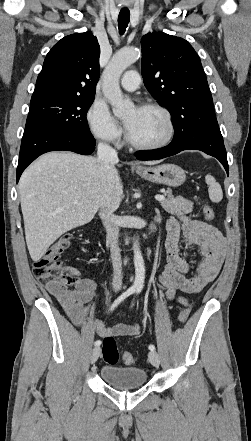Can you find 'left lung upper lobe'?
Here are the masks:
<instances>
[{
	"instance_id": "5c2ea615",
	"label": "left lung upper lobe",
	"mask_w": 251,
	"mask_h": 441,
	"mask_svg": "<svg viewBox=\"0 0 251 441\" xmlns=\"http://www.w3.org/2000/svg\"><path fill=\"white\" fill-rule=\"evenodd\" d=\"M141 46L145 87L168 109L174 130L198 114L215 116L200 58L186 40L154 32L142 37Z\"/></svg>"
}]
</instances>
